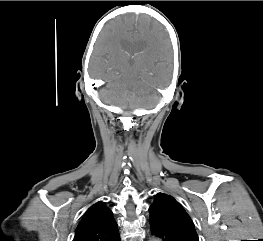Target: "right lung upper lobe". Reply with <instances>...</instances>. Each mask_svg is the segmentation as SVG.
<instances>
[{"label":"right lung upper lobe","instance_id":"1","mask_svg":"<svg viewBox=\"0 0 263 241\" xmlns=\"http://www.w3.org/2000/svg\"><path fill=\"white\" fill-rule=\"evenodd\" d=\"M118 226L102 202L91 206L75 230L73 241H117Z\"/></svg>","mask_w":263,"mask_h":241}]
</instances>
